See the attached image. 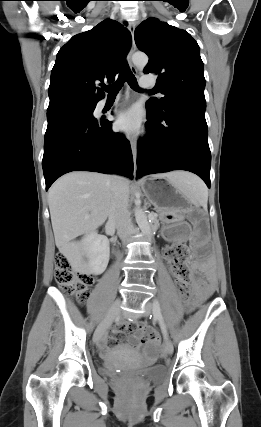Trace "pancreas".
<instances>
[{
  "label": "pancreas",
  "instance_id": "pancreas-1",
  "mask_svg": "<svg viewBox=\"0 0 261 427\" xmlns=\"http://www.w3.org/2000/svg\"><path fill=\"white\" fill-rule=\"evenodd\" d=\"M151 217H152L153 222L157 224L158 223V219H157L158 215L156 213H153Z\"/></svg>",
  "mask_w": 261,
  "mask_h": 427
}]
</instances>
